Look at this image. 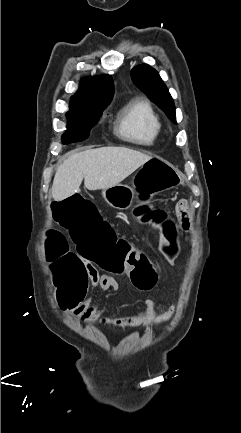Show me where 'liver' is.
<instances>
[{
	"mask_svg": "<svg viewBox=\"0 0 241 433\" xmlns=\"http://www.w3.org/2000/svg\"><path fill=\"white\" fill-rule=\"evenodd\" d=\"M151 156L125 147H103L70 154L57 168L52 197L59 202L76 192L80 185L89 190H105L118 185Z\"/></svg>",
	"mask_w": 241,
	"mask_h": 433,
	"instance_id": "6515ba94",
	"label": "liver"
}]
</instances>
